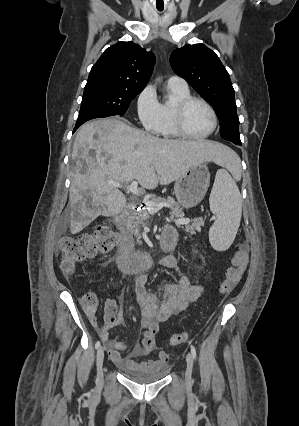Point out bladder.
Returning <instances> with one entry per match:
<instances>
[{
  "label": "bladder",
  "instance_id": "obj_1",
  "mask_svg": "<svg viewBox=\"0 0 299 426\" xmlns=\"http://www.w3.org/2000/svg\"><path fill=\"white\" fill-rule=\"evenodd\" d=\"M124 375L133 382L149 384L163 379L167 373V367H157L153 369H125Z\"/></svg>",
  "mask_w": 299,
  "mask_h": 426
}]
</instances>
